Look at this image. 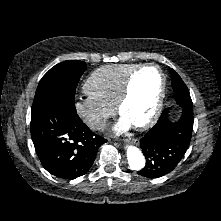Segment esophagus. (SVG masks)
<instances>
[{
    "label": "esophagus",
    "mask_w": 221,
    "mask_h": 221,
    "mask_svg": "<svg viewBox=\"0 0 221 221\" xmlns=\"http://www.w3.org/2000/svg\"><path fill=\"white\" fill-rule=\"evenodd\" d=\"M127 142L128 143H132V144H134V145H139V139H137V138H129V139H127Z\"/></svg>",
    "instance_id": "1"
}]
</instances>
